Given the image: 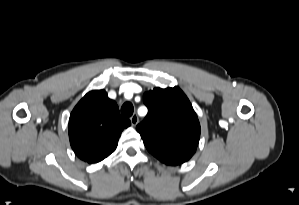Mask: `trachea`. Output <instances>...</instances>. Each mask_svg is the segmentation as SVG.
<instances>
[{
    "label": "trachea",
    "instance_id": "trachea-1",
    "mask_svg": "<svg viewBox=\"0 0 299 205\" xmlns=\"http://www.w3.org/2000/svg\"><path fill=\"white\" fill-rule=\"evenodd\" d=\"M134 107L132 103L126 102L121 107V114L123 117H130L133 114Z\"/></svg>",
    "mask_w": 299,
    "mask_h": 205
}]
</instances>
